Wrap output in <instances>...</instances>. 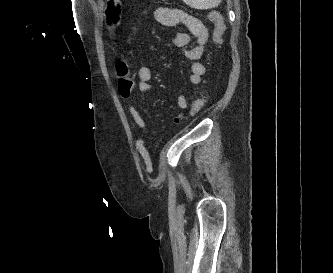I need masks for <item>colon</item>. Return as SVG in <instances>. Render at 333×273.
<instances>
[{
    "mask_svg": "<svg viewBox=\"0 0 333 273\" xmlns=\"http://www.w3.org/2000/svg\"><path fill=\"white\" fill-rule=\"evenodd\" d=\"M208 19L213 23V40L218 43L225 31V23L222 16L218 12H210L208 14ZM117 71V86L120 95L123 98L130 97L133 85H134V76L129 70V66L125 61H119L116 65ZM206 103V95L201 94L197 97L190 105L189 116H193L198 113ZM183 116H178L174 119V124H179L183 121Z\"/></svg>",
    "mask_w": 333,
    "mask_h": 273,
    "instance_id": "1",
    "label": "colon"
}]
</instances>
